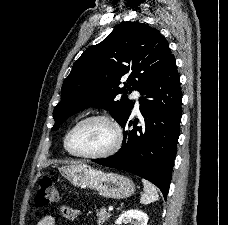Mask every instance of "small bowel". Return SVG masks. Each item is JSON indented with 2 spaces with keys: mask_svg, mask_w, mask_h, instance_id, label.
I'll return each mask as SVG.
<instances>
[{
  "mask_svg": "<svg viewBox=\"0 0 228 225\" xmlns=\"http://www.w3.org/2000/svg\"><path fill=\"white\" fill-rule=\"evenodd\" d=\"M59 212L64 218L70 221H74L77 219V212L71 207L61 206L59 208ZM37 225H56V218L54 215L51 214L45 215L39 219Z\"/></svg>",
  "mask_w": 228,
  "mask_h": 225,
  "instance_id": "1",
  "label": "small bowel"
}]
</instances>
